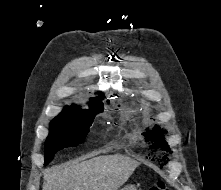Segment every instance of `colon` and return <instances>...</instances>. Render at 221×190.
I'll list each match as a JSON object with an SVG mask.
<instances>
[{"label":"colon","instance_id":"1","mask_svg":"<svg viewBox=\"0 0 221 190\" xmlns=\"http://www.w3.org/2000/svg\"><path fill=\"white\" fill-rule=\"evenodd\" d=\"M148 190H168V188L163 181H158L156 184H154Z\"/></svg>","mask_w":221,"mask_h":190}]
</instances>
